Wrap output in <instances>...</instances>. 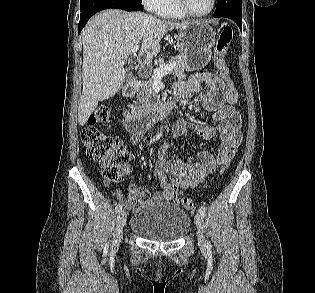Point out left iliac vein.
<instances>
[{
  "label": "left iliac vein",
  "instance_id": "obj_1",
  "mask_svg": "<svg viewBox=\"0 0 315 293\" xmlns=\"http://www.w3.org/2000/svg\"><path fill=\"white\" fill-rule=\"evenodd\" d=\"M195 223L197 227L198 245L202 250H204L206 247L204 237V219L201 214L197 213L195 215Z\"/></svg>",
  "mask_w": 315,
  "mask_h": 293
}]
</instances>
